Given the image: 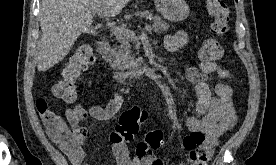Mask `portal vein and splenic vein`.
<instances>
[{"instance_id":"18ae733b","label":"portal vein and splenic vein","mask_w":276,"mask_h":165,"mask_svg":"<svg viewBox=\"0 0 276 165\" xmlns=\"http://www.w3.org/2000/svg\"><path fill=\"white\" fill-rule=\"evenodd\" d=\"M102 12H103L102 9L97 10V15L101 16ZM108 26L111 28V31L115 35L124 36V37L130 38V39H134L136 37L135 33L133 31H131L129 29H126L125 27H117V26H114L112 24H109ZM151 30H152V27L149 26V25L145 26L142 29L143 33L150 32Z\"/></svg>"}]
</instances>
